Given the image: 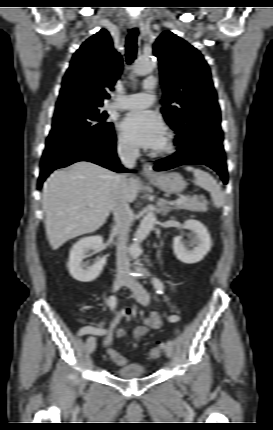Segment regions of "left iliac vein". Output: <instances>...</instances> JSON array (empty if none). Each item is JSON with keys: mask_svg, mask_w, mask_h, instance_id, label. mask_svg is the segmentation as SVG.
Wrapping results in <instances>:
<instances>
[{"mask_svg": "<svg viewBox=\"0 0 273 430\" xmlns=\"http://www.w3.org/2000/svg\"><path fill=\"white\" fill-rule=\"evenodd\" d=\"M126 286L133 290V294L136 300L146 306L149 302L150 295L147 290L137 281L128 280ZM174 344L172 340H169L165 345V354L171 358L173 356Z\"/></svg>", "mask_w": 273, "mask_h": 430, "instance_id": "left-iliac-vein-1", "label": "left iliac vein"}]
</instances>
